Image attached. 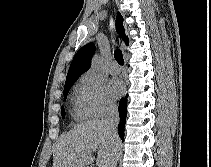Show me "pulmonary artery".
I'll use <instances>...</instances> for the list:
<instances>
[{
    "label": "pulmonary artery",
    "instance_id": "obj_1",
    "mask_svg": "<svg viewBox=\"0 0 211 167\" xmlns=\"http://www.w3.org/2000/svg\"><path fill=\"white\" fill-rule=\"evenodd\" d=\"M109 72L113 75H117L119 74L120 69L116 63H113L109 68Z\"/></svg>",
    "mask_w": 211,
    "mask_h": 167
}]
</instances>
